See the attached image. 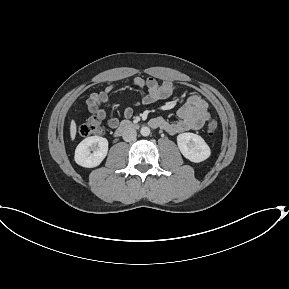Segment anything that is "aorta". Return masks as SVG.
Here are the masks:
<instances>
[{
	"label": "aorta",
	"mask_w": 289,
	"mask_h": 289,
	"mask_svg": "<svg viewBox=\"0 0 289 289\" xmlns=\"http://www.w3.org/2000/svg\"><path fill=\"white\" fill-rule=\"evenodd\" d=\"M142 136H149L150 128L149 127H142L140 130Z\"/></svg>",
	"instance_id": "762f6f07"
}]
</instances>
